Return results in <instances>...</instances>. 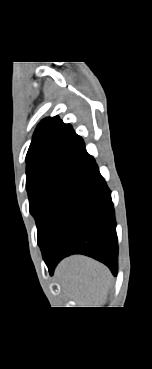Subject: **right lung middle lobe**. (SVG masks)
<instances>
[{"mask_svg":"<svg viewBox=\"0 0 152 369\" xmlns=\"http://www.w3.org/2000/svg\"><path fill=\"white\" fill-rule=\"evenodd\" d=\"M79 167L80 164L64 163L27 173L26 188L30 212L36 220L39 245L47 234L59 199Z\"/></svg>","mask_w":152,"mask_h":369,"instance_id":"right-lung-middle-lobe-1","label":"right lung middle lobe"}]
</instances>
